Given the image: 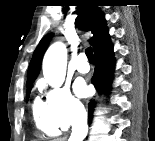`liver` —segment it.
I'll use <instances>...</instances> for the list:
<instances>
[{"mask_svg": "<svg viewBox=\"0 0 155 141\" xmlns=\"http://www.w3.org/2000/svg\"><path fill=\"white\" fill-rule=\"evenodd\" d=\"M57 141H64V138H63V139H59V140H57Z\"/></svg>", "mask_w": 155, "mask_h": 141, "instance_id": "6515ba94", "label": "liver"}]
</instances>
